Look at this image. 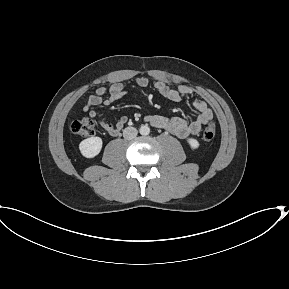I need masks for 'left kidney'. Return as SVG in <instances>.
I'll use <instances>...</instances> for the list:
<instances>
[{"instance_id":"obj_1","label":"left kidney","mask_w":289,"mask_h":289,"mask_svg":"<svg viewBox=\"0 0 289 289\" xmlns=\"http://www.w3.org/2000/svg\"><path fill=\"white\" fill-rule=\"evenodd\" d=\"M187 142L190 145L191 149H193V150L199 148V146H200L198 140H196L194 138H188Z\"/></svg>"}]
</instances>
